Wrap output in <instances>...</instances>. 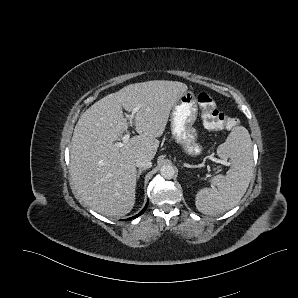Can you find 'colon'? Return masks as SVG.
<instances>
[{
  "label": "colon",
  "instance_id": "obj_1",
  "mask_svg": "<svg viewBox=\"0 0 298 298\" xmlns=\"http://www.w3.org/2000/svg\"><path fill=\"white\" fill-rule=\"evenodd\" d=\"M204 126L213 131L230 130L237 125V119L218 110L210 94L201 92L197 96Z\"/></svg>",
  "mask_w": 298,
  "mask_h": 298
}]
</instances>
